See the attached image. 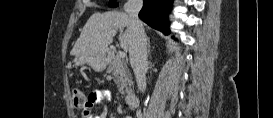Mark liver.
Returning a JSON list of instances; mask_svg holds the SVG:
<instances>
[{"instance_id":"1","label":"liver","mask_w":273,"mask_h":118,"mask_svg":"<svg viewBox=\"0 0 273 118\" xmlns=\"http://www.w3.org/2000/svg\"><path fill=\"white\" fill-rule=\"evenodd\" d=\"M124 27L126 30L119 35V41L121 47L127 51L131 39L129 15L117 11L94 13L84 25L71 50V55H91L105 52L112 43L116 30Z\"/></svg>"}]
</instances>
